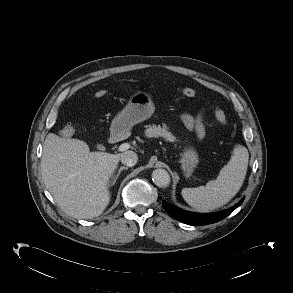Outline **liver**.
Masks as SVG:
<instances>
[{"instance_id":"1","label":"liver","mask_w":293,"mask_h":293,"mask_svg":"<svg viewBox=\"0 0 293 293\" xmlns=\"http://www.w3.org/2000/svg\"><path fill=\"white\" fill-rule=\"evenodd\" d=\"M122 154L90 152L82 140L49 133L43 144L42 179L66 214L98 217L110 202L109 180Z\"/></svg>"}]
</instances>
